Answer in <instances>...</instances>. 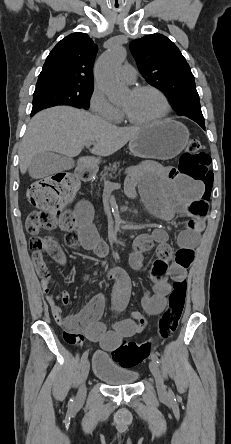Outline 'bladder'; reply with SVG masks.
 Here are the masks:
<instances>
[{"label":"bladder","mask_w":231,"mask_h":444,"mask_svg":"<svg viewBox=\"0 0 231 444\" xmlns=\"http://www.w3.org/2000/svg\"><path fill=\"white\" fill-rule=\"evenodd\" d=\"M92 373L111 386L132 385L139 378L137 371L118 364L111 355L102 351L94 354Z\"/></svg>","instance_id":"bladder-1"}]
</instances>
